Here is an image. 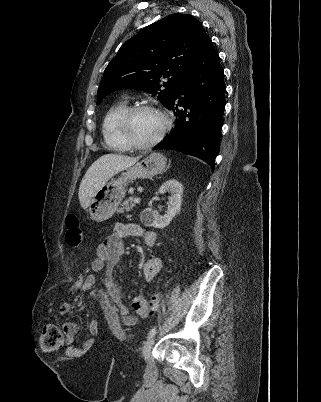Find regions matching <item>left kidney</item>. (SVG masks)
I'll list each match as a JSON object with an SVG mask.
<instances>
[{"mask_svg": "<svg viewBox=\"0 0 321 402\" xmlns=\"http://www.w3.org/2000/svg\"><path fill=\"white\" fill-rule=\"evenodd\" d=\"M169 192L168 208L164 216H159L156 211L146 208L140 214L141 220L148 226L163 229L170 224L175 215L180 211L183 187L176 179H169L159 188V193Z\"/></svg>", "mask_w": 321, "mask_h": 402, "instance_id": "obj_1", "label": "left kidney"}]
</instances>
